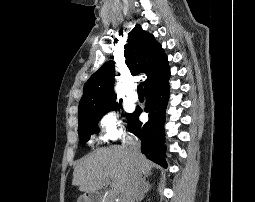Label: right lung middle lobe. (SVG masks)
<instances>
[{"label": "right lung middle lobe", "mask_w": 255, "mask_h": 202, "mask_svg": "<svg viewBox=\"0 0 255 202\" xmlns=\"http://www.w3.org/2000/svg\"><path fill=\"white\" fill-rule=\"evenodd\" d=\"M119 109L117 103L101 109H94L78 115V133L82 143L90 139L91 133L95 130L97 122L108 111ZM128 123L131 119V114L127 115Z\"/></svg>", "instance_id": "obj_1"}]
</instances>
